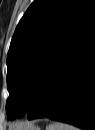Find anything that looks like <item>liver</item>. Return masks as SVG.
<instances>
[{
    "mask_svg": "<svg viewBox=\"0 0 95 130\" xmlns=\"http://www.w3.org/2000/svg\"><path fill=\"white\" fill-rule=\"evenodd\" d=\"M27 125H31V124H25V125H22V126H16L14 127L15 130H25L27 128H30V126H27Z\"/></svg>",
    "mask_w": 95,
    "mask_h": 130,
    "instance_id": "1",
    "label": "liver"
}]
</instances>
